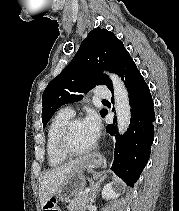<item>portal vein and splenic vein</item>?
I'll return each mask as SVG.
<instances>
[{
    "mask_svg": "<svg viewBox=\"0 0 179 211\" xmlns=\"http://www.w3.org/2000/svg\"><path fill=\"white\" fill-rule=\"evenodd\" d=\"M89 191H90V189L88 188V189H86L84 192H85V193H89Z\"/></svg>",
    "mask_w": 179,
    "mask_h": 211,
    "instance_id": "portal-vein-and-splenic-vein-1",
    "label": "portal vein and splenic vein"
}]
</instances>
